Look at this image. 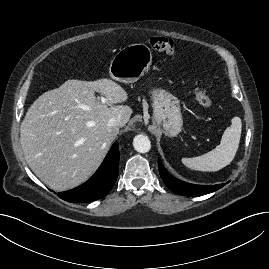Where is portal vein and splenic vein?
Here are the masks:
<instances>
[{"mask_svg": "<svg viewBox=\"0 0 269 269\" xmlns=\"http://www.w3.org/2000/svg\"><path fill=\"white\" fill-rule=\"evenodd\" d=\"M107 102V99L103 96H101V103L105 104Z\"/></svg>", "mask_w": 269, "mask_h": 269, "instance_id": "portal-vein-and-splenic-vein-1", "label": "portal vein and splenic vein"}]
</instances>
